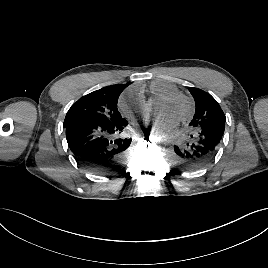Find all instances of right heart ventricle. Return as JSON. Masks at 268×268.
I'll return each mask as SVG.
<instances>
[{
  "label": "right heart ventricle",
  "instance_id": "1",
  "mask_svg": "<svg viewBox=\"0 0 268 268\" xmlns=\"http://www.w3.org/2000/svg\"><path fill=\"white\" fill-rule=\"evenodd\" d=\"M177 90L178 88L174 83L164 79L155 80L149 85V92L154 98H161Z\"/></svg>",
  "mask_w": 268,
  "mask_h": 268
}]
</instances>
